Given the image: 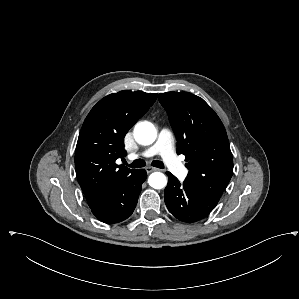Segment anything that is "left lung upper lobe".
<instances>
[{"instance_id":"left-lung-upper-lobe-1","label":"left lung upper lobe","mask_w":299,"mask_h":299,"mask_svg":"<svg viewBox=\"0 0 299 299\" xmlns=\"http://www.w3.org/2000/svg\"><path fill=\"white\" fill-rule=\"evenodd\" d=\"M177 138V150L189 169L185 181L220 199L233 174L225 128L211 107L187 92L159 94Z\"/></svg>"}]
</instances>
